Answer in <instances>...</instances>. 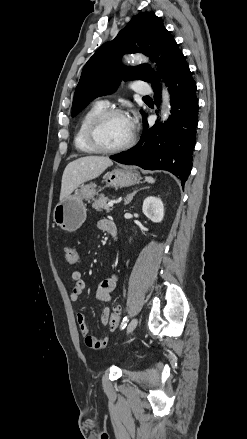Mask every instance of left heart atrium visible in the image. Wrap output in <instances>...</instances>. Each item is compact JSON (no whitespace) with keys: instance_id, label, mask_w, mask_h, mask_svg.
Returning <instances> with one entry per match:
<instances>
[{"instance_id":"obj_1","label":"left heart atrium","mask_w":247,"mask_h":439,"mask_svg":"<svg viewBox=\"0 0 247 439\" xmlns=\"http://www.w3.org/2000/svg\"><path fill=\"white\" fill-rule=\"evenodd\" d=\"M127 120H128V124H129L130 129L133 131L135 124H136L135 119L132 117H128Z\"/></svg>"}]
</instances>
